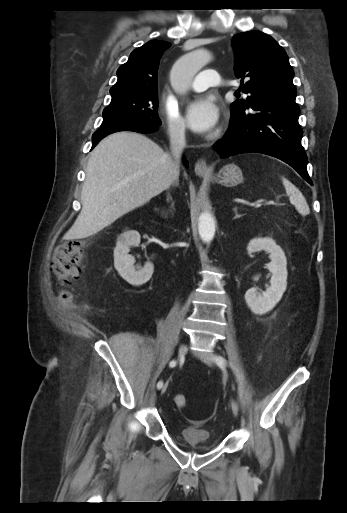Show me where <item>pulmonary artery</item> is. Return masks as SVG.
Returning <instances> with one entry per match:
<instances>
[{"label":"pulmonary artery","mask_w":347,"mask_h":513,"mask_svg":"<svg viewBox=\"0 0 347 513\" xmlns=\"http://www.w3.org/2000/svg\"><path fill=\"white\" fill-rule=\"evenodd\" d=\"M222 83L220 74L214 69H205L197 74L194 78L191 88L200 92L206 90L210 86H217Z\"/></svg>","instance_id":"1"}]
</instances>
